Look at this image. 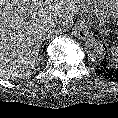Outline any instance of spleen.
<instances>
[{"instance_id": "obj_1", "label": "spleen", "mask_w": 118, "mask_h": 118, "mask_svg": "<svg viewBox=\"0 0 118 118\" xmlns=\"http://www.w3.org/2000/svg\"><path fill=\"white\" fill-rule=\"evenodd\" d=\"M111 52H112L113 59L118 67V44L112 47Z\"/></svg>"}]
</instances>
